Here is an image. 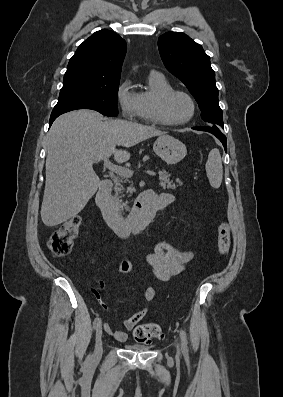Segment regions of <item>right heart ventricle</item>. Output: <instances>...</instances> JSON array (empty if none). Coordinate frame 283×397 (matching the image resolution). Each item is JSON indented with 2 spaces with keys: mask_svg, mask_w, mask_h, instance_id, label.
Masks as SVG:
<instances>
[{
  "mask_svg": "<svg viewBox=\"0 0 283 397\" xmlns=\"http://www.w3.org/2000/svg\"><path fill=\"white\" fill-rule=\"evenodd\" d=\"M172 89V84L163 75L150 74L146 90L138 93L141 118L146 122L158 123L155 117L156 102L163 93Z\"/></svg>",
  "mask_w": 283,
  "mask_h": 397,
  "instance_id": "right-heart-ventricle-1",
  "label": "right heart ventricle"
}]
</instances>
